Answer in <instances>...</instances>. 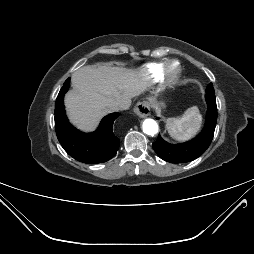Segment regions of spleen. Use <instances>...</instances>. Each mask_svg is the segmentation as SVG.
Segmentation results:
<instances>
[{
    "label": "spleen",
    "mask_w": 254,
    "mask_h": 254,
    "mask_svg": "<svg viewBox=\"0 0 254 254\" xmlns=\"http://www.w3.org/2000/svg\"><path fill=\"white\" fill-rule=\"evenodd\" d=\"M202 116L196 106L188 108L182 116L168 118L166 128L170 136L178 141H187L200 129Z\"/></svg>",
    "instance_id": "spleen-1"
}]
</instances>
